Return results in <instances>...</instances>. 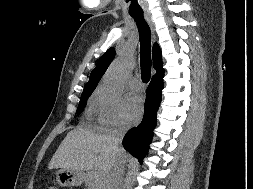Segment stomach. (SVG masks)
I'll use <instances>...</instances> for the list:
<instances>
[{"label": "stomach", "instance_id": "stomach-1", "mask_svg": "<svg viewBox=\"0 0 253 189\" xmlns=\"http://www.w3.org/2000/svg\"><path fill=\"white\" fill-rule=\"evenodd\" d=\"M87 174L82 171L60 169L56 172V180L60 186H78L85 181Z\"/></svg>", "mask_w": 253, "mask_h": 189}]
</instances>
